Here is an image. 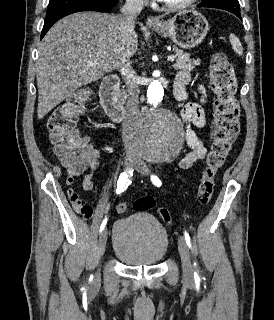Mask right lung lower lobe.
<instances>
[{
  "instance_id": "98d812e1",
  "label": "right lung lower lobe",
  "mask_w": 274,
  "mask_h": 320,
  "mask_svg": "<svg viewBox=\"0 0 274 320\" xmlns=\"http://www.w3.org/2000/svg\"><path fill=\"white\" fill-rule=\"evenodd\" d=\"M117 2L118 0H60L49 4L41 39L55 22L69 14L80 11L108 12Z\"/></svg>"
}]
</instances>
